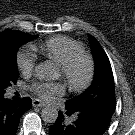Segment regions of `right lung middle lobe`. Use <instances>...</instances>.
Instances as JSON below:
<instances>
[{"label":"right lung middle lobe","mask_w":135,"mask_h":135,"mask_svg":"<svg viewBox=\"0 0 135 135\" xmlns=\"http://www.w3.org/2000/svg\"><path fill=\"white\" fill-rule=\"evenodd\" d=\"M37 37L16 30L4 31L0 34V95L18 79L16 61L18 48Z\"/></svg>","instance_id":"right-lung-middle-lobe-1"}]
</instances>
